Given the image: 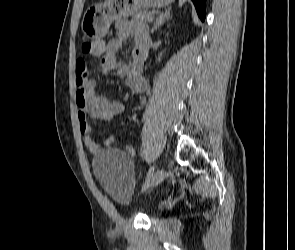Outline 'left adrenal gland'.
Here are the masks:
<instances>
[{
    "instance_id": "a2214340",
    "label": "left adrenal gland",
    "mask_w": 295,
    "mask_h": 250,
    "mask_svg": "<svg viewBox=\"0 0 295 250\" xmlns=\"http://www.w3.org/2000/svg\"><path fill=\"white\" fill-rule=\"evenodd\" d=\"M172 19L171 15V7L165 10V12H161L155 19L153 27L151 29V33L157 30L160 26H162L166 21Z\"/></svg>"
}]
</instances>
